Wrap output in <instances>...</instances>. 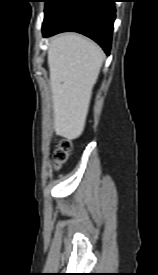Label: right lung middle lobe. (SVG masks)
<instances>
[{"label":"right lung middle lobe","mask_w":158,"mask_h":275,"mask_svg":"<svg viewBox=\"0 0 158 275\" xmlns=\"http://www.w3.org/2000/svg\"><path fill=\"white\" fill-rule=\"evenodd\" d=\"M59 0H46V6H45V15L49 13L53 7L58 3Z\"/></svg>","instance_id":"obj_1"}]
</instances>
